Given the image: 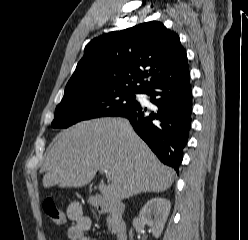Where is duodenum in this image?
Returning <instances> with one entry per match:
<instances>
[{"label":"duodenum","instance_id":"obj_1","mask_svg":"<svg viewBox=\"0 0 248 240\" xmlns=\"http://www.w3.org/2000/svg\"><path fill=\"white\" fill-rule=\"evenodd\" d=\"M94 206L101 214H109L115 230L116 240H128L127 226L122 219L124 206L119 201L96 198Z\"/></svg>","mask_w":248,"mask_h":240}]
</instances>
